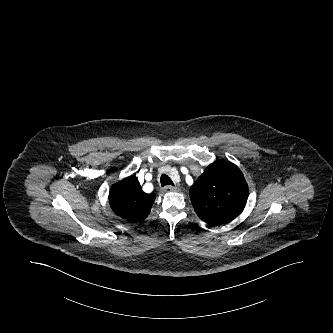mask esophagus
I'll return each mask as SVG.
<instances>
[{"label": "esophagus", "instance_id": "1", "mask_svg": "<svg viewBox=\"0 0 333 333\" xmlns=\"http://www.w3.org/2000/svg\"><path fill=\"white\" fill-rule=\"evenodd\" d=\"M164 191L165 192H177V191H179V188L177 186L168 185L164 188Z\"/></svg>", "mask_w": 333, "mask_h": 333}]
</instances>
